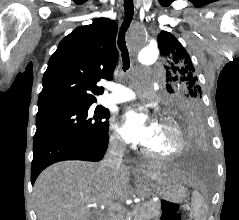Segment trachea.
Returning <instances> with one entry per match:
<instances>
[{"mask_svg":"<svg viewBox=\"0 0 239 220\" xmlns=\"http://www.w3.org/2000/svg\"><path fill=\"white\" fill-rule=\"evenodd\" d=\"M124 9H125V17L118 35V47L122 52L123 70L126 71L130 67V58L128 49L125 44V33L129 28V25L134 15L133 0H124Z\"/></svg>","mask_w":239,"mask_h":220,"instance_id":"obj_1","label":"trachea"}]
</instances>
